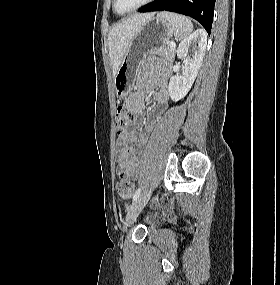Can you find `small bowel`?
Returning <instances> with one entry per match:
<instances>
[{
    "label": "small bowel",
    "instance_id": "small-bowel-1",
    "mask_svg": "<svg viewBox=\"0 0 280 285\" xmlns=\"http://www.w3.org/2000/svg\"><path fill=\"white\" fill-rule=\"evenodd\" d=\"M144 77L138 91L131 94L126 100V106L139 112L144 107L145 95L152 93L156 103L165 105L168 101V84L170 71L165 68L160 73H154L151 69H144ZM154 126V121L145 125V132L149 133ZM133 133H123L118 138L119 149L117 151V174L135 179L139 173V164L134 155Z\"/></svg>",
    "mask_w": 280,
    "mask_h": 285
}]
</instances>
